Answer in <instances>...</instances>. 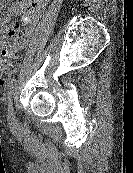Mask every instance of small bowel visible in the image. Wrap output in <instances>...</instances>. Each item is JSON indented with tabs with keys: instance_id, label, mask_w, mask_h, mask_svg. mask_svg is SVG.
Wrapping results in <instances>:
<instances>
[{
	"instance_id": "c3829d8e",
	"label": "small bowel",
	"mask_w": 133,
	"mask_h": 173,
	"mask_svg": "<svg viewBox=\"0 0 133 173\" xmlns=\"http://www.w3.org/2000/svg\"><path fill=\"white\" fill-rule=\"evenodd\" d=\"M9 0H1L0 8L4 2ZM49 0H20L11 6L7 13L0 17V48H4L9 44V36H22L23 42L19 49H22L28 40L29 35L33 32L36 24L40 20L45 6ZM22 17L25 25L21 34L19 33V27L17 25L7 26L8 22L13 17Z\"/></svg>"
}]
</instances>
